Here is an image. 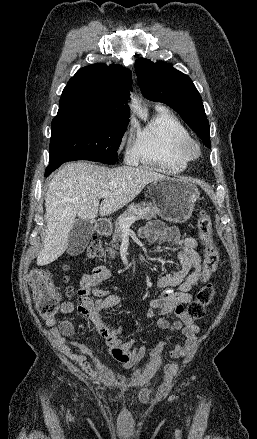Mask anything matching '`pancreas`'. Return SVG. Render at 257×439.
<instances>
[{
  "label": "pancreas",
  "mask_w": 257,
  "mask_h": 439,
  "mask_svg": "<svg viewBox=\"0 0 257 439\" xmlns=\"http://www.w3.org/2000/svg\"><path fill=\"white\" fill-rule=\"evenodd\" d=\"M158 214V209L151 202H142L140 204H131L127 210L121 214L114 224L113 238L107 251L110 257H114L116 254V249L118 248V243L122 239L123 228L120 225L122 219L135 216L137 219L150 220L156 218Z\"/></svg>",
  "instance_id": "cf45deb5"
}]
</instances>
